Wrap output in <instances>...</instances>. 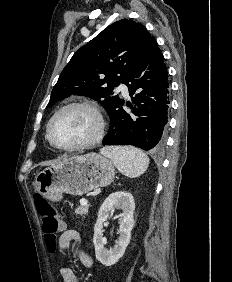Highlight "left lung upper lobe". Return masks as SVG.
<instances>
[{
	"label": "left lung upper lobe",
	"mask_w": 232,
	"mask_h": 282,
	"mask_svg": "<svg viewBox=\"0 0 232 282\" xmlns=\"http://www.w3.org/2000/svg\"><path fill=\"white\" fill-rule=\"evenodd\" d=\"M153 39L140 23L122 19L111 24L73 55L47 108L71 95H82L100 101L109 113L120 101L112 93L114 87L131 74Z\"/></svg>",
	"instance_id": "obj_1"
}]
</instances>
